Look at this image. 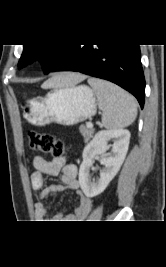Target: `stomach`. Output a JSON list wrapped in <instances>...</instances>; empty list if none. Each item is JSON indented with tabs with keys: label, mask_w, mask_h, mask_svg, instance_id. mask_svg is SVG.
Wrapping results in <instances>:
<instances>
[{
	"label": "stomach",
	"mask_w": 166,
	"mask_h": 267,
	"mask_svg": "<svg viewBox=\"0 0 166 267\" xmlns=\"http://www.w3.org/2000/svg\"><path fill=\"white\" fill-rule=\"evenodd\" d=\"M93 90L86 85L55 87L43 98L28 101L24 107L26 119L34 125L56 122L74 125L96 114Z\"/></svg>",
	"instance_id": "1"
}]
</instances>
